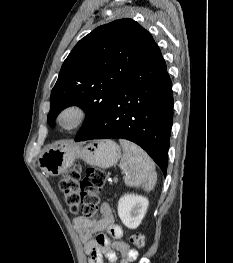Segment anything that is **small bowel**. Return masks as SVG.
<instances>
[{
    "instance_id": "c3829d8e",
    "label": "small bowel",
    "mask_w": 233,
    "mask_h": 263,
    "mask_svg": "<svg viewBox=\"0 0 233 263\" xmlns=\"http://www.w3.org/2000/svg\"><path fill=\"white\" fill-rule=\"evenodd\" d=\"M101 215L95 221L78 216L73 220V227L85 245L88 263H132L138 253L123 241L122 228L114 223L111 208L108 204L101 205ZM111 239L114 241L112 242ZM116 252L120 253L118 258Z\"/></svg>"
}]
</instances>
